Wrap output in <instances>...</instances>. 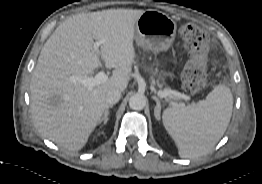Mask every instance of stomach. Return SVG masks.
I'll return each mask as SVG.
<instances>
[{
	"label": "stomach",
	"mask_w": 262,
	"mask_h": 184,
	"mask_svg": "<svg viewBox=\"0 0 262 184\" xmlns=\"http://www.w3.org/2000/svg\"><path fill=\"white\" fill-rule=\"evenodd\" d=\"M176 30V22L167 14L146 10L135 23L134 39L138 46L146 50L166 51L174 42Z\"/></svg>",
	"instance_id": "1"
}]
</instances>
